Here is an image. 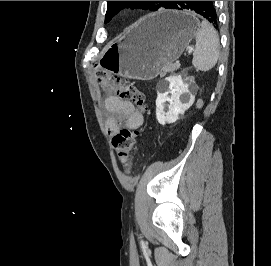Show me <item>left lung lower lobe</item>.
<instances>
[{"instance_id": "obj_1", "label": "left lung lower lobe", "mask_w": 271, "mask_h": 266, "mask_svg": "<svg viewBox=\"0 0 271 266\" xmlns=\"http://www.w3.org/2000/svg\"><path fill=\"white\" fill-rule=\"evenodd\" d=\"M167 9H189L200 14L209 21L215 28H218V16L214 1H172Z\"/></svg>"}]
</instances>
